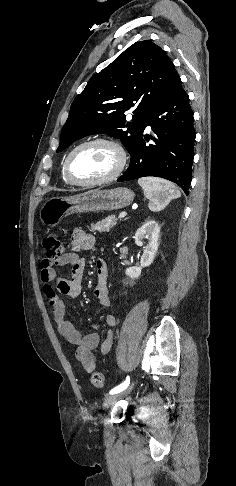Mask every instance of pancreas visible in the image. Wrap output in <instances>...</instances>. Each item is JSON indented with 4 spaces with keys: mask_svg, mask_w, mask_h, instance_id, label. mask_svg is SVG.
Returning <instances> with one entry per match:
<instances>
[{
    "mask_svg": "<svg viewBox=\"0 0 236 486\" xmlns=\"http://www.w3.org/2000/svg\"><path fill=\"white\" fill-rule=\"evenodd\" d=\"M117 224V219L115 215H110L103 220L93 224L91 227L92 231L109 232L112 227Z\"/></svg>",
    "mask_w": 236,
    "mask_h": 486,
    "instance_id": "cf45deb5",
    "label": "pancreas"
}]
</instances>
